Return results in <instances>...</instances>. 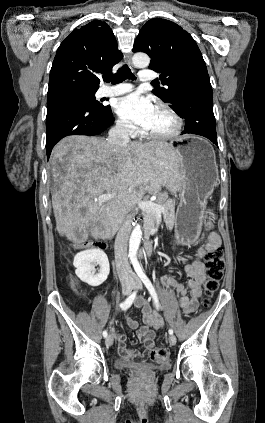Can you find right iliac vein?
I'll use <instances>...</instances> for the list:
<instances>
[{
  "instance_id": "right-iliac-vein-1",
  "label": "right iliac vein",
  "mask_w": 265,
  "mask_h": 423,
  "mask_svg": "<svg viewBox=\"0 0 265 423\" xmlns=\"http://www.w3.org/2000/svg\"><path fill=\"white\" fill-rule=\"evenodd\" d=\"M132 286H133V283L130 280H124L122 282V293H123V295H128ZM105 343H106L107 346H111L113 344V337L111 335H109L106 338Z\"/></svg>"
}]
</instances>
